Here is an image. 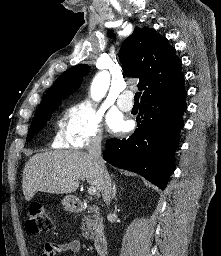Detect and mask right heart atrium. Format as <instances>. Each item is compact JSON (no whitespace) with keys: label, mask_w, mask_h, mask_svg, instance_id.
I'll return each instance as SVG.
<instances>
[{"label":"right heart atrium","mask_w":221,"mask_h":256,"mask_svg":"<svg viewBox=\"0 0 221 256\" xmlns=\"http://www.w3.org/2000/svg\"><path fill=\"white\" fill-rule=\"evenodd\" d=\"M102 139L103 125L100 111L92 103L81 101L67 109L56 143L63 147L86 148L100 144Z\"/></svg>","instance_id":"d8ad5b80"}]
</instances>
